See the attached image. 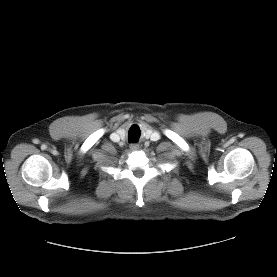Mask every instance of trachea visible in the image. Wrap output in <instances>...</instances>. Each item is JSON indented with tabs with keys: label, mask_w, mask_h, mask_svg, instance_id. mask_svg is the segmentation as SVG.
I'll return each mask as SVG.
<instances>
[{
	"label": "trachea",
	"mask_w": 277,
	"mask_h": 277,
	"mask_svg": "<svg viewBox=\"0 0 277 277\" xmlns=\"http://www.w3.org/2000/svg\"><path fill=\"white\" fill-rule=\"evenodd\" d=\"M134 129H137V128L132 127L130 130L133 131ZM128 136H129L130 140H136L139 137V135H136L135 133H134V135H132L131 133L130 134L128 133Z\"/></svg>",
	"instance_id": "3493384b"
}]
</instances>
